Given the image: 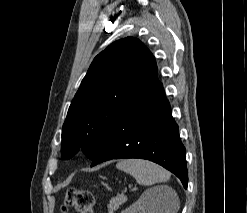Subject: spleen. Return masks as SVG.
Segmentation results:
<instances>
[{
    "label": "spleen",
    "mask_w": 247,
    "mask_h": 213,
    "mask_svg": "<svg viewBox=\"0 0 247 213\" xmlns=\"http://www.w3.org/2000/svg\"><path fill=\"white\" fill-rule=\"evenodd\" d=\"M117 169L122 170L133 176L138 184L152 185L155 183H164L170 179L171 174L161 166L141 159L121 160L116 165ZM174 213L179 209L178 198H174Z\"/></svg>",
    "instance_id": "spleen-1"
}]
</instances>
